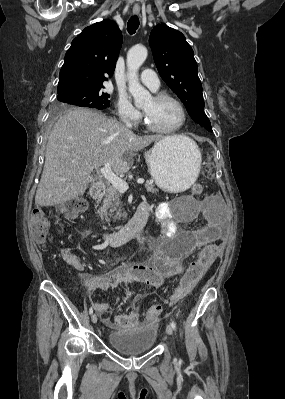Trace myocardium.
Masks as SVG:
<instances>
[{
	"label": "myocardium",
	"instance_id": "f54148a6",
	"mask_svg": "<svg viewBox=\"0 0 285 399\" xmlns=\"http://www.w3.org/2000/svg\"><path fill=\"white\" fill-rule=\"evenodd\" d=\"M153 99L156 100V101H163V100H172V101H174L181 109L182 120H181V122L178 125H176L174 127H171V128H160V127H157L156 125H154L153 122L148 118V116L144 112V122H145V125L147 126V128L149 130H151V131H153L155 133L168 134V133L176 132V131H178L179 129H181L184 126V124L187 121V111H186L185 105L183 104V102L179 98H177L174 95L168 94V93H159V94L155 95L153 97Z\"/></svg>",
	"mask_w": 285,
	"mask_h": 399
}]
</instances>
